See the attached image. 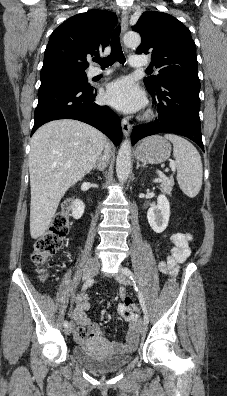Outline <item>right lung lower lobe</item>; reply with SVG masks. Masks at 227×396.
<instances>
[{"instance_id": "1", "label": "right lung lower lobe", "mask_w": 227, "mask_h": 396, "mask_svg": "<svg viewBox=\"0 0 227 396\" xmlns=\"http://www.w3.org/2000/svg\"><path fill=\"white\" fill-rule=\"evenodd\" d=\"M96 94L97 90L91 86L67 80L42 83L31 134L49 121L75 119L97 128L118 146L122 139L120 119L108 106L95 102Z\"/></svg>"}]
</instances>
